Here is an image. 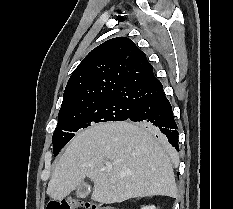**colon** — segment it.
I'll use <instances>...</instances> for the list:
<instances>
[{"instance_id": "obj_1", "label": "colon", "mask_w": 233, "mask_h": 209, "mask_svg": "<svg viewBox=\"0 0 233 209\" xmlns=\"http://www.w3.org/2000/svg\"><path fill=\"white\" fill-rule=\"evenodd\" d=\"M47 209H119L114 206L91 203L79 198L54 200L48 203Z\"/></svg>"}]
</instances>
